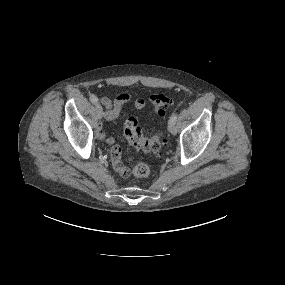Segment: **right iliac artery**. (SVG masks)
Returning <instances> with one entry per match:
<instances>
[{
    "label": "right iliac artery",
    "instance_id": "obj_1",
    "mask_svg": "<svg viewBox=\"0 0 285 285\" xmlns=\"http://www.w3.org/2000/svg\"><path fill=\"white\" fill-rule=\"evenodd\" d=\"M90 100H91V102H92L93 104H96L97 101H98V98H97L95 95H91V96H90Z\"/></svg>",
    "mask_w": 285,
    "mask_h": 285
}]
</instances>
